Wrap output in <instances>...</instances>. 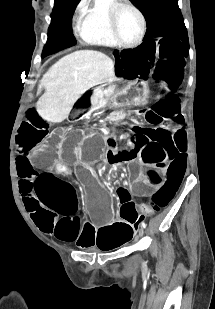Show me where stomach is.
<instances>
[{"label": "stomach", "instance_id": "stomach-1", "mask_svg": "<svg viewBox=\"0 0 215 309\" xmlns=\"http://www.w3.org/2000/svg\"><path fill=\"white\" fill-rule=\"evenodd\" d=\"M147 87V83L143 81H136L121 91L120 95L124 96L126 100H132L144 95L147 91Z\"/></svg>", "mask_w": 215, "mask_h": 309}]
</instances>
